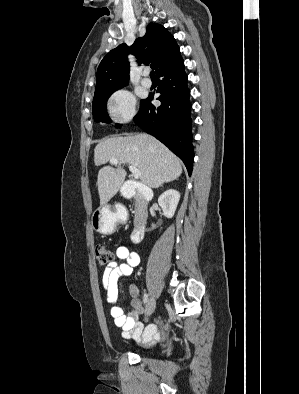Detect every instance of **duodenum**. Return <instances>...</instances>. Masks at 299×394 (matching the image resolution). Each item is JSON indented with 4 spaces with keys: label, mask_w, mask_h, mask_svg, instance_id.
Wrapping results in <instances>:
<instances>
[{
    "label": "duodenum",
    "mask_w": 299,
    "mask_h": 394,
    "mask_svg": "<svg viewBox=\"0 0 299 394\" xmlns=\"http://www.w3.org/2000/svg\"><path fill=\"white\" fill-rule=\"evenodd\" d=\"M123 190L128 195L132 194L133 191H136L143 204L148 203L153 198L152 190L141 183L128 185ZM147 219L146 213L144 211H140L138 214L137 225L131 235V239L134 243L140 242L145 231Z\"/></svg>",
    "instance_id": "obj_1"
}]
</instances>
